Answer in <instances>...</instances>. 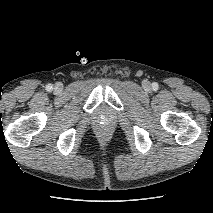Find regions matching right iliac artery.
I'll return each mask as SVG.
<instances>
[{"instance_id":"1","label":"right iliac artery","mask_w":213,"mask_h":213,"mask_svg":"<svg viewBox=\"0 0 213 213\" xmlns=\"http://www.w3.org/2000/svg\"><path fill=\"white\" fill-rule=\"evenodd\" d=\"M46 90H47V91H52V90H53V85H52V84H48V85L46 86Z\"/></svg>"}]
</instances>
